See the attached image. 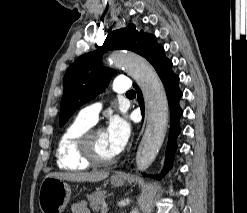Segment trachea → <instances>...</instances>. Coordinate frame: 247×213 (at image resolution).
I'll return each instance as SVG.
<instances>
[{"label":"trachea","mask_w":247,"mask_h":213,"mask_svg":"<svg viewBox=\"0 0 247 213\" xmlns=\"http://www.w3.org/2000/svg\"><path fill=\"white\" fill-rule=\"evenodd\" d=\"M131 93H135L134 90H130L129 92H127V94H131Z\"/></svg>","instance_id":"obj_1"}]
</instances>
